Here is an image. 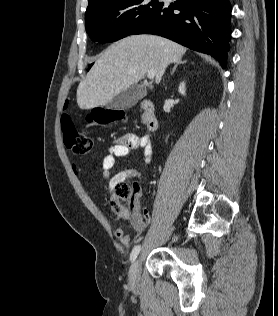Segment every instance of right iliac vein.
Segmentation results:
<instances>
[{"mask_svg": "<svg viewBox=\"0 0 278 316\" xmlns=\"http://www.w3.org/2000/svg\"><path fill=\"white\" fill-rule=\"evenodd\" d=\"M140 275V259L133 261L130 270H129V281L131 285L136 286L139 282Z\"/></svg>", "mask_w": 278, "mask_h": 316, "instance_id": "right-iliac-vein-1", "label": "right iliac vein"}]
</instances>
